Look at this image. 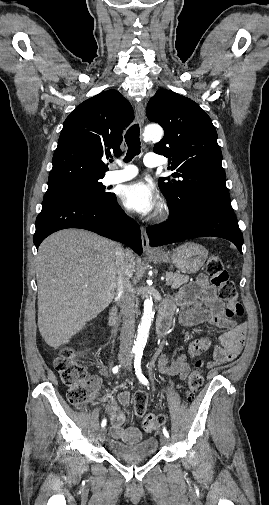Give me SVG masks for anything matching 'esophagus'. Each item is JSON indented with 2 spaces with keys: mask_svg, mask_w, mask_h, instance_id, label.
Returning a JSON list of instances; mask_svg holds the SVG:
<instances>
[{
  "mask_svg": "<svg viewBox=\"0 0 269 505\" xmlns=\"http://www.w3.org/2000/svg\"><path fill=\"white\" fill-rule=\"evenodd\" d=\"M135 114H136L137 121L140 124H143L144 120H145V108H144V105L142 102H137L135 104ZM141 240H142L143 251L145 253L155 252V249L150 246L147 231L144 226L141 227Z\"/></svg>",
  "mask_w": 269,
  "mask_h": 505,
  "instance_id": "obj_1",
  "label": "esophagus"
}]
</instances>
